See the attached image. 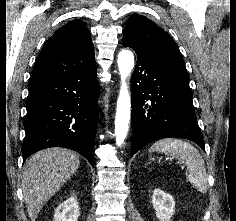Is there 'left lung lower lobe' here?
<instances>
[{
    "instance_id": "1",
    "label": "left lung lower lobe",
    "mask_w": 236,
    "mask_h": 221,
    "mask_svg": "<svg viewBox=\"0 0 236 221\" xmlns=\"http://www.w3.org/2000/svg\"><path fill=\"white\" fill-rule=\"evenodd\" d=\"M123 46L132 47L124 41ZM134 50L131 156L148 143L167 137L191 140L205 150L186 70Z\"/></svg>"
}]
</instances>
